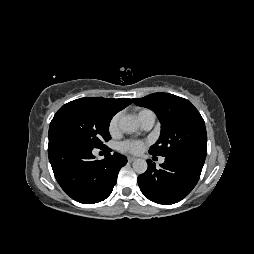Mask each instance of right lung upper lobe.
Listing matches in <instances>:
<instances>
[{
  "instance_id": "obj_1",
  "label": "right lung upper lobe",
  "mask_w": 254,
  "mask_h": 254,
  "mask_svg": "<svg viewBox=\"0 0 254 254\" xmlns=\"http://www.w3.org/2000/svg\"><path fill=\"white\" fill-rule=\"evenodd\" d=\"M86 98H91V99L101 102L114 115L132 103V101L128 98H119V99L102 98V97H86Z\"/></svg>"
}]
</instances>
